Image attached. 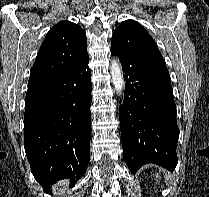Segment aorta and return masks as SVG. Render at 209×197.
Here are the masks:
<instances>
[{
  "label": "aorta",
  "instance_id": "762f6f07",
  "mask_svg": "<svg viewBox=\"0 0 209 197\" xmlns=\"http://www.w3.org/2000/svg\"><path fill=\"white\" fill-rule=\"evenodd\" d=\"M110 70H111L112 83L115 87V90L118 94H121V92L125 88V81H124L121 64L117 59L112 60Z\"/></svg>",
  "mask_w": 209,
  "mask_h": 197
}]
</instances>
